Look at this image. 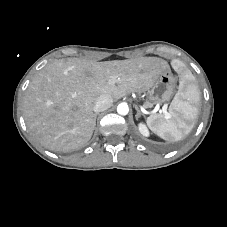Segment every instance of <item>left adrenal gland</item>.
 Here are the masks:
<instances>
[{"label":"left adrenal gland","instance_id":"left-adrenal-gland-1","mask_svg":"<svg viewBox=\"0 0 227 227\" xmlns=\"http://www.w3.org/2000/svg\"><path fill=\"white\" fill-rule=\"evenodd\" d=\"M135 109L137 110V114L135 115V118L138 120V118L142 115L143 117H145L144 114L141 113V111L139 110V108L137 106H135Z\"/></svg>","mask_w":227,"mask_h":227}]
</instances>
